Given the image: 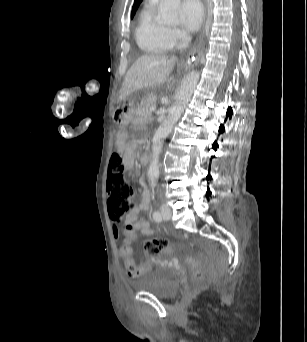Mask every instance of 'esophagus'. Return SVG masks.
I'll return each mask as SVG.
<instances>
[{"instance_id":"1","label":"esophagus","mask_w":307,"mask_h":342,"mask_svg":"<svg viewBox=\"0 0 307 342\" xmlns=\"http://www.w3.org/2000/svg\"><path fill=\"white\" fill-rule=\"evenodd\" d=\"M204 4H205V8H204V15H207V0H203ZM204 34H205V23L203 26V31L201 33L198 45L196 47H193V49L190 52V56L196 55L197 53L200 52L201 48L204 46L205 44V40H204Z\"/></svg>"}]
</instances>
